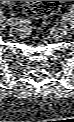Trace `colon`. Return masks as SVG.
Wrapping results in <instances>:
<instances>
[{"label":"colon","mask_w":74,"mask_h":122,"mask_svg":"<svg viewBox=\"0 0 74 122\" xmlns=\"http://www.w3.org/2000/svg\"><path fill=\"white\" fill-rule=\"evenodd\" d=\"M59 1H27L24 12L29 16L41 17L58 7Z\"/></svg>","instance_id":"colon-1"}]
</instances>
